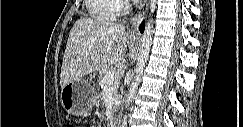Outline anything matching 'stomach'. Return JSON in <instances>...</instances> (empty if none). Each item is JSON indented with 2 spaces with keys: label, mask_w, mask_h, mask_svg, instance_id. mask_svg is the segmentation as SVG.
<instances>
[{
  "label": "stomach",
  "mask_w": 243,
  "mask_h": 127,
  "mask_svg": "<svg viewBox=\"0 0 243 127\" xmlns=\"http://www.w3.org/2000/svg\"><path fill=\"white\" fill-rule=\"evenodd\" d=\"M97 99L95 85L87 79L69 82L62 87L61 103L64 110L74 116L87 114Z\"/></svg>",
  "instance_id": "0dacf381"
}]
</instances>
